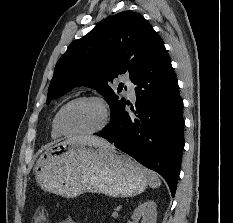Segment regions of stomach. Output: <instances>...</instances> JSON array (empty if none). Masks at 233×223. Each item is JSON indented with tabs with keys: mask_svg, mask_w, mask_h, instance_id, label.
<instances>
[{
	"mask_svg": "<svg viewBox=\"0 0 233 223\" xmlns=\"http://www.w3.org/2000/svg\"><path fill=\"white\" fill-rule=\"evenodd\" d=\"M33 171L40 189L61 197H78L86 191L133 197L149 183L147 169L125 153L71 141L50 145Z\"/></svg>",
	"mask_w": 233,
	"mask_h": 223,
	"instance_id": "0dacf381",
	"label": "stomach"
}]
</instances>
